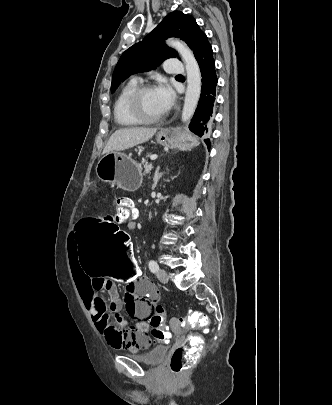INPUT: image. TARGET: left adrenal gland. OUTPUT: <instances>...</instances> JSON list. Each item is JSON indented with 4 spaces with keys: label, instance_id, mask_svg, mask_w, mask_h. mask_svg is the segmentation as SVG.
I'll return each instance as SVG.
<instances>
[{
    "label": "left adrenal gland",
    "instance_id": "a2214340",
    "mask_svg": "<svg viewBox=\"0 0 332 405\" xmlns=\"http://www.w3.org/2000/svg\"><path fill=\"white\" fill-rule=\"evenodd\" d=\"M159 169H160V167L158 166L156 171H155L154 177H153V182L154 183H153L152 189H154L157 186L158 181L160 180V178L164 174V173H159Z\"/></svg>",
    "mask_w": 332,
    "mask_h": 405
}]
</instances>
